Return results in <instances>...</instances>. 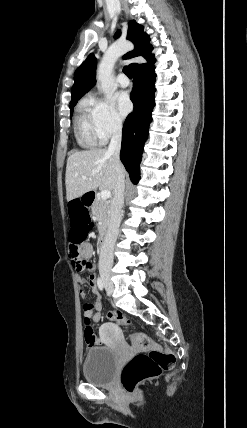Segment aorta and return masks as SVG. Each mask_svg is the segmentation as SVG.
I'll use <instances>...</instances> for the list:
<instances>
[{
  "instance_id": "aorta-1",
  "label": "aorta",
  "mask_w": 247,
  "mask_h": 428,
  "mask_svg": "<svg viewBox=\"0 0 247 428\" xmlns=\"http://www.w3.org/2000/svg\"><path fill=\"white\" fill-rule=\"evenodd\" d=\"M121 51L115 47L109 48L98 66L97 81L100 89L105 92L109 86L111 74L117 59L120 57Z\"/></svg>"
}]
</instances>
